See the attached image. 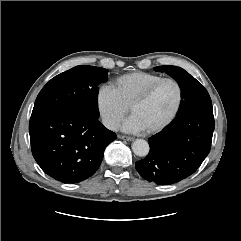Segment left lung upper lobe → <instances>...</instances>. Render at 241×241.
<instances>
[{"label": "left lung upper lobe", "instance_id": "obj_1", "mask_svg": "<svg viewBox=\"0 0 241 241\" xmlns=\"http://www.w3.org/2000/svg\"><path fill=\"white\" fill-rule=\"evenodd\" d=\"M154 69L158 72L167 73L175 79L180 86L181 103L174 120L201 109L212 108L211 98L207 90L184 69L177 66H158Z\"/></svg>", "mask_w": 241, "mask_h": 241}]
</instances>
